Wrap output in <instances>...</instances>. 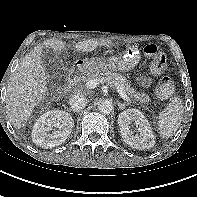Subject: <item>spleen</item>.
I'll list each match as a JSON object with an SVG mask.
<instances>
[{
    "label": "spleen",
    "mask_w": 197,
    "mask_h": 197,
    "mask_svg": "<svg viewBox=\"0 0 197 197\" xmlns=\"http://www.w3.org/2000/svg\"><path fill=\"white\" fill-rule=\"evenodd\" d=\"M159 132L162 137H171L180 126L183 119V104L180 96L175 95L170 99L165 109L159 113Z\"/></svg>",
    "instance_id": "1"
}]
</instances>
